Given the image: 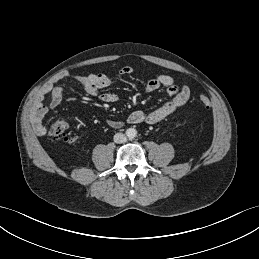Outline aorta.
<instances>
[{
  "label": "aorta",
  "mask_w": 259,
  "mask_h": 259,
  "mask_svg": "<svg viewBox=\"0 0 259 259\" xmlns=\"http://www.w3.org/2000/svg\"><path fill=\"white\" fill-rule=\"evenodd\" d=\"M126 135H127V137H128L129 139H133V138L136 137L137 131H136V129H134V128H128V129L126 130Z\"/></svg>",
  "instance_id": "762f6f07"
}]
</instances>
